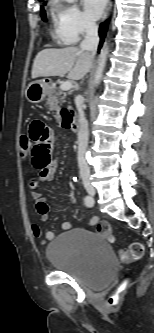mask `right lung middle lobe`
<instances>
[{
  "mask_svg": "<svg viewBox=\"0 0 154 333\" xmlns=\"http://www.w3.org/2000/svg\"><path fill=\"white\" fill-rule=\"evenodd\" d=\"M43 1V0H42ZM46 3H44V5H45ZM41 17H42V19L45 21L46 20V14H45V11H44V9L43 8H41Z\"/></svg>",
  "mask_w": 154,
  "mask_h": 333,
  "instance_id": "dd1d6c3e",
  "label": "right lung middle lobe"
}]
</instances>
